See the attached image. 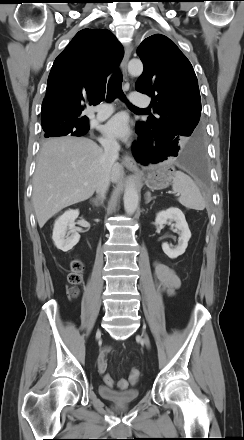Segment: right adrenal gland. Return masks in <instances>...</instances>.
<instances>
[{"instance_id":"1","label":"right adrenal gland","mask_w":244,"mask_h":440,"mask_svg":"<svg viewBox=\"0 0 244 440\" xmlns=\"http://www.w3.org/2000/svg\"><path fill=\"white\" fill-rule=\"evenodd\" d=\"M91 202L93 203V205L95 207H99V206H101L103 204V199H101V198H93V199H91Z\"/></svg>"}]
</instances>
